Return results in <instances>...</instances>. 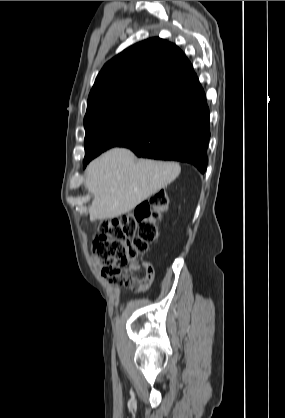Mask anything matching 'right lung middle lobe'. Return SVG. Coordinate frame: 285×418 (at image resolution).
<instances>
[{
    "mask_svg": "<svg viewBox=\"0 0 285 418\" xmlns=\"http://www.w3.org/2000/svg\"><path fill=\"white\" fill-rule=\"evenodd\" d=\"M169 107L133 100L104 106L85 116V158L123 144L158 121Z\"/></svg>",
    "mask_w": 285,
    "mask_h": 418,
    "instance_id": "obj_1",
    "label": "right lung middle lobe"
}]
</instances>
